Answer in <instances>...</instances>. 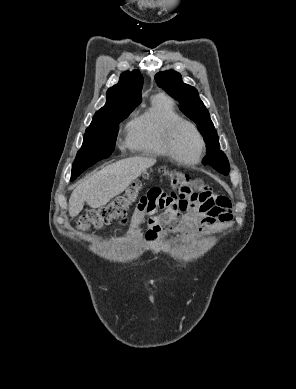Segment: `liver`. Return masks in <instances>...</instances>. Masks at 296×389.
<instances>
[{
    "instance_id": "6515ba94",
    "label": "liver",
    "mask_w": 296,
    "mask_h": 389,
    "mask_svg": "<svg viewBox=\"0 0 296 389\" xmlns=\"http://www.w3.org/2000/svg\"><path fill=\"white\" fill-rule=\"evenodd\" d=\"M155 163L156 159L151 157L126 158L107 165L86 178L70 196V217L77 216L85 202L91 208L103 207Z\"/></svg>"
}]
</instances>
